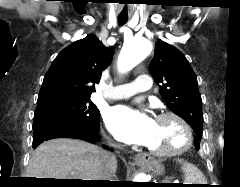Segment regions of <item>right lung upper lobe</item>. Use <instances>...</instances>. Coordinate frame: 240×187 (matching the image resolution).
<instances>
[{"mask_svg":"<svg viewBox=\"0 0 240 187\" xmlns=\"http://www.w3.org/2000/svg\"><path fill=\"white\" fill-rule=\"evenodd\" d=\"M112 53V48H106L92 34L63 49L44 76L37 105L60 99L90 98Z\"/></svg>","mask_w":240,"mask_h":187,"instance_id":"obj_1","label":"right lung upper lobe"}]
</instances>
